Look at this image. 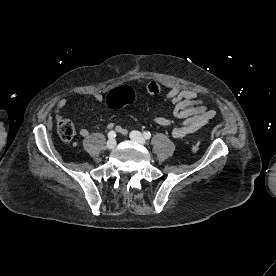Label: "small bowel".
Segmentation results:
<instances>
[{
  "mask_svg": "<svg viewBox=\"0 0 276 276\" xmlns=\"http://www.w3.org/2000/svg\"><path fill=\"white\" fill-rule=\"evenodd\" d=\"M146 92L150 95H157L163 91V87L156 82H149ZM89 97L98 102H103L104 98L100 93H91ZM164 98L173 107V116L180 121V124L171 130V135L176 139L187 138L209 123L216 115V112L209 108L206 102L193 90H185L179 86L170 87L164 93ZM67 100L65 98L58 102L59 110L65 108ZM151 121L159 126L168 127L173 124V120L160 115L151 117ZM110 130L126 133L115 122L108 124ZM79 134L88 137L90 132L86 128H81Z\"/></svg>",
  "mask_w": 276,
  "mask_h": 276,
  "instance_id": "c3829d8e",
  "label": "small bowel"
}]
</instances>
